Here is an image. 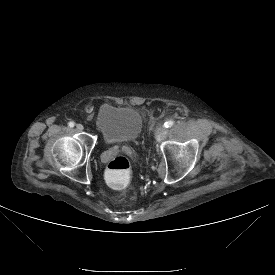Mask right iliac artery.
Listing matches in <instances>:
<instances>
[{"mask_svg": "<svg viewBox=\"0 0 275 275\" xmlns=\"http://www.w3.org/2000/svg\"><path fill=\"white\" fill-rule=\"evenodd\" d=\"M68 126H69V127H74V126H75V123H74L73 121H71V122L68 123Z\"/></svg>", "mask_w": 275, "mask_h": 275, "instance_id": "1", "label": "right iliac artery"}]
</instances>
